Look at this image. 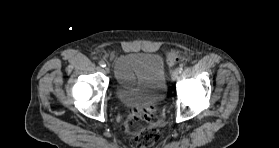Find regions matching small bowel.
I'll use <instances>...</instances> for the list:
<instances>
[{
	"label": "small bowel",
	"mask_w": 279,
	"mask_h": 148,
	"mask_svg": "<svg viewBox=\"0 0 279 148\" xmlns=\"http://www.w3.org/2000/svg\"><path fill=\"white\" fill-rule=\"evenodd\" d=\"M117 75L124 82L130 83L133 81V74L126 68L122 61H117L116 63Z\"/></svg>",
	"instance_id": "obj_1"
}]
</instances>
